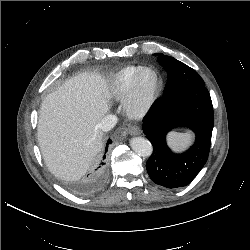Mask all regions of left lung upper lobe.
<instances>
[{"label": "left lung upper lobe", "mask_w": 250, "mask_h": 250, "mask_svg": "<svg viewBox=\"0 0 250 250\" xmlns=\"http://www.w3.org/2000/svg\"><path fill=\"white\" fill-rule=\"evenodd\" d=\"M157 61L167 71V83L162 97H168L195 87L205 86L199 74L173 57L155 54Z\"/></svg>", "instance_id": "obj_1"}]
</instances>
